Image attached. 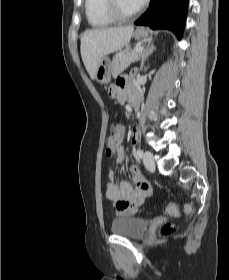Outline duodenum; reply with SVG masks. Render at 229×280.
<instances>
[{
  "mask_svg": "<svg viewBox=\"0 0 229 280\" xmlns=\"http://www.w3.org/2000/svg\"><path fill=\"white\" fill-rule=\"evenodd\" d=\"M132 100H133L135 111H138V109H139V94H133L132 95Z\"/></svg>",
  "mask_w": 229,
  "mask_h": 280,
  "instance_id": "1",
  "label": "duodenum"
}]
</instances>
